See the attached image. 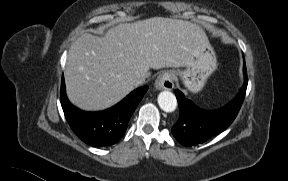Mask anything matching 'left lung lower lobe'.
<instances>
[{
    "instance_id": "obj_1",
    "label": "left lung lower lobe",
    "mask_w": 288,
    "mask_h": 181,
    "mask_svg": "<svg viewBox=\"0 0 288 181\" xmlns=\"http://www.w3.org/2000/svg\"><path fill=\"white\" fill-rule=\"evenodd\" d=\"M243 69L245 82L242 89L232 102L219 110H202L184 98L182 92L175 91L180 115L172 128V134L179 143L184 146L203 143L224 131L234 121L244 100L248 83L245 64Z\"/></svg>"
}]
</instances>
